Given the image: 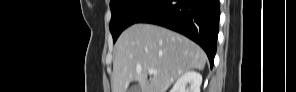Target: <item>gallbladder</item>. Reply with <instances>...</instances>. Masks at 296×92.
Segmentation results:
<instances>
[{
    "mask_svg": "<svg viewBox=\"0 0 296 92\" xmlns=\"http://www.w3.org/2000/svg\"><path fill=\"white\" fill-rule=\"evenodd\" d=\"M140 87L139 85H134L132 87H130V89L128 90V92H140Z\"/></svg>",
    "mask_w": 296,
    "mask_h": 92,
    "instance_id": "gallbladder-1",
    "label": "gallbladder"
}]
</instances>
